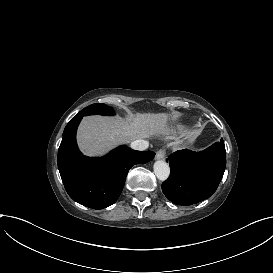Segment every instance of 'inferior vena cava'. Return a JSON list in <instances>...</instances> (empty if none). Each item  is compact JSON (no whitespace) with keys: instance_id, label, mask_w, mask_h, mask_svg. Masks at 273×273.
I'll return each instance as SVG.
<instances>
[{"instance_id":"602c4592","label":"inferior vena cava","mask_w":273,"mask_h":273,"mask_svg":"<svg viewBox=\"0 0 273 273\" xmlns=\"http://www.w3.org/2000/svg\"><path fill=\"white\" fill-rule=\"evenodd\" d=\"M148 146L149 142L142 139L135 140L131 143V148L139 151L146 150Z\"/></svg>"}]
</instances>
